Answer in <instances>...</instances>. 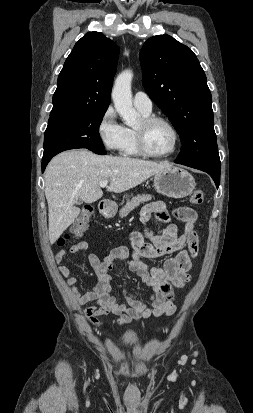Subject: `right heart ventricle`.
Returning <instances> with one entry per match:
<instances>
[{"label": "right heart ventricle", "instance_id": "e07e8e85", "mask_svg": "<svg viewBox=\"0 0 253 413\" xmlns=\"http://www.w3.org/2000/svg\"><path fill=\"white\" fill-rule=\"evenodd\" d=\"M143 117L150 115V113L139 110ZM126 130V142L122 149V153L126 156H139L141 155L137 148L135 128L125 127Z\"/></svg>", "mask_w": 253, "mask_h": 413}]
</instances>
